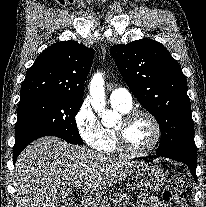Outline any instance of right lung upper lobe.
Instances as JSON below:
<instances>
[{
  "mask_svg": "<svg viewBox=\"0 0 206 207\" xmlns=\"http://www.w3.org/2000/svg\"><path fill=\"white\" fill-rule=\"evenodd\" d=\"M94 50L76 41H61L45 49L27 71L20 100L56 96L82 100Z\"/></svg>",
  "mask_w": 206,
  "mask_h": 207,
  "instance_id": "cb5924a9",
  "label": "right lung upper lobe"
}]
</instances>
